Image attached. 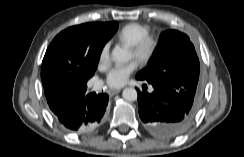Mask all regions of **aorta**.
<instances>
[{"label":"aorta","mask_w":244,"mask_h":157,"mask_svg":"<svg viewBox=\"0 0 244 157\" xmlns=\"http://www.w3.org/2000/svg\"><path fill=\"white\" fill-rule=\"evenodd\" d=\"M111 57L116 62H127L130 59V54L127 49L116 46L111 53ZM122 96L127 101H135L138 97L136 89L132 87L125 88Z\"/></svg>","instance_id":"1"}]
</instances>
